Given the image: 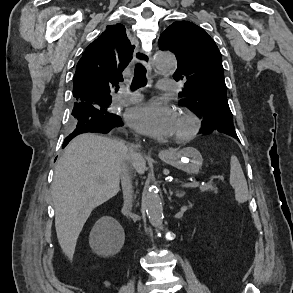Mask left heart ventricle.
<instances>
[{
    "label": "left heart ventricle",
    "instance_id": "1",
    "mask_svg": "<svg viewBox=\"0 0 293 293\" xmlns=\"http://www.w3.org/2000/svg\"><path fill=\"white\" fill-rule=\"evenodd\" d=\"M187 129V124L184 121H181L176 118L175 126H174V134L183 132Z\"/></svg>",
    "mask_w": 293,
    "mask_h": 293
}]
</instances>
